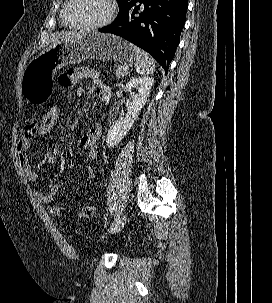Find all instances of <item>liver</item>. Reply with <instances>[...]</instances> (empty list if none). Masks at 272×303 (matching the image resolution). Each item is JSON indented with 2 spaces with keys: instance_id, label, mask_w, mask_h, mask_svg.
<instances>
[{
  "instance_id": "liver-1",
  "label": "liver",
  "mask_w": 272,
  "mask_h": 303,
  "mask_svg": "<svg viewBox=\"0 0 272 303\" xmlns=\"http://www.w3.org/2000/svg\"><path fill=\"white\" fill-rule=\"evenodd\" d=\"M82 34L83 33H81V34L65 33V34H62V35H56V36L52 37V39L50 40V43L53 44V43L58 42L59 40L70 38V37H76V36H79V35H82Z\"/></svg>"
}]
</instances>
